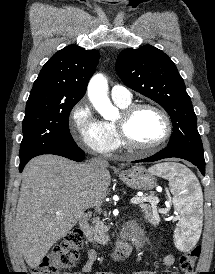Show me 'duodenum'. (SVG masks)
<instances>
[{"label":"duodenum","mask_w":215,"mask_h":274,"mask_svg":"<svg viewBox=\"0 0 215 274\" xmlns=\"http://www.w3.org/2000/svg\"><path fill=\"white\" fill-rule=\"evenodd\" d=\"M88 221L89 217L87 214H83L78 220L79 229L85 236H87ZM131 250V244L128 240L124 239L115 245L112 252L110 253V256L114 261L122 262L129 257Z\"/></svg>","instance_id":"obj_1"}]
</instances>
